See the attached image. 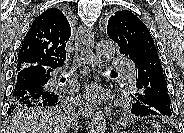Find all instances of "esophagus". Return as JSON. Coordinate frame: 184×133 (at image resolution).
<instances>
[{"mask_svg": "<svg viewBox=\"0 0 184 133\" xmlns=\"http://www.w3.org/2000/svg\"><path fill=\"white\" fill-rule=\"evenodd\" d=\"M76 39V48L80 59L83 63L95 68L97 63L93 53L94 33L86 27H80L77 32ZM80 111L85 118H90L94 112V107L91 103L81 102Z\"/></svg>", "mask_w": 184, "mask_h": 133, "instance_id": "esophagus-1", "label": "esophagus"}]
</instances>
